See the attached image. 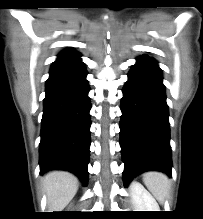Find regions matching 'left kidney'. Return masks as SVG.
Wrapping results in <instances>:
<instances>
[{"label":"left kidney","instance_id":"1","mask_svg":"<svg viewBox=\"0 0 203 219\" xmlns=\"http://www.w3.org/2000/svg\"><path fill=\"white\" fill-rule=\"evenodd\" d=\"M130 191L135 211H159L155 199L139 182H132Z\"/></svg>","mask_w":203,"mask_h":219}]
</instances>
